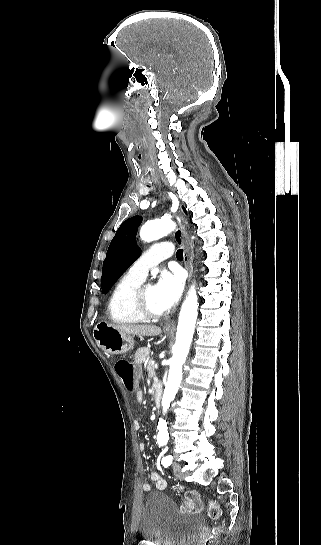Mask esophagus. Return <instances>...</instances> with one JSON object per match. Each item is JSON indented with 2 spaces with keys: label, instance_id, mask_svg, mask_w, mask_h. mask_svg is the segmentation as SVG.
<instances>
[{
  "label": "esophagus",
  "instance_id": "esophagus-1",
  "mask_svg": "<svg viewBox=\"0 0 321 545\" xmlns=\"http://www.w3.org/2000/svg\"><path fill=\"white\" fill-rule=\"evenodd\" d=\"M182 219H183V214L178 212V214L175 215V221H176L177 227L173 235H174L175 241L178 244L182 243L184 246V265L188 272V281H190L192 277V273H193V248L188 238L185 227L182 224ZM174 326H175L174 322H168L164 325V328L173 329Z\"/></svg>",
  "mask_w": 321,
  "mask_h": 545
}]
</instances>
